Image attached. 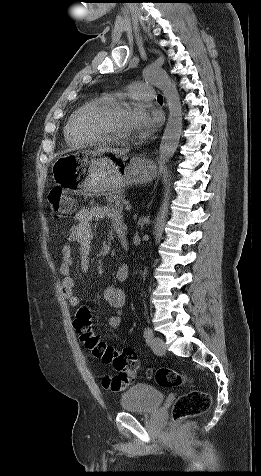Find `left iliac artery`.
I'll use <instances>...</instances> for the list:
<instances>
[{
	"label": "left iliac artery",
	"mask_w": 261,
	"mask_h": 476,
	"mask_svg": "<svg viewBox=\"0 0 261 476\" xmlns=\"http://www.w3.org/2000/svg\"><path fill=\"white\" fill-rule=\"evenodd\" d=\"M154 334L151 328L146 327L144 330V338L146 339L147 343H150V341L153 339Z\"/></svg>",
	"instance_id": "obj_1"
}]
</instances>
